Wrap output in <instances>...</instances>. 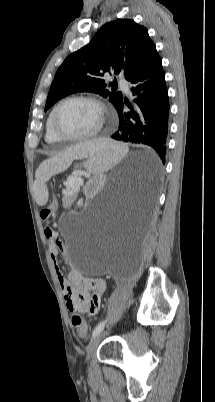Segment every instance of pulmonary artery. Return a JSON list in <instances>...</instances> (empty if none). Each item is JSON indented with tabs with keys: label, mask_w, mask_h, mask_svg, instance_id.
<instances>
[{
	"label": "pulmonary artery",
	"mask_w": 215,
	"mask_h": 402,
	"mask_svg": "<svg viewBox=\"0 0 215 402\" xmlns=\"http://www.w3.org/2000/svg\"><path fill=\"white\" fill-rule=\"evenodd\" d=\"M120 86L122 89L126 92L129 93V83L125 79H119Z\"/></svg>",
	"instance_id": "e3ab8cb5"
}]
</instances>
